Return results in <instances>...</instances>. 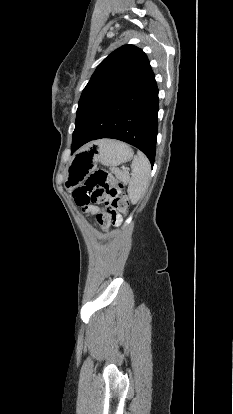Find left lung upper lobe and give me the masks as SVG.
<instances>
[{
    "mask_svg": "<svg viewBox=\"0 0 233 414\" xmlns=\"http://www.w3.org/2000/svg\"><path fill=\"white\" fill-rule=\"evenodd\" d=\"M150 70L149 60L141 49L125 45L115 50L98 65L84 88L77 116L93 103L126 89Z\"/></svg>",
    "mask_w": 233,
    "mask_h": 414,
    "instance_id": "left-lung-upper-lobe-1",
    "label": "left lung upper lobe"
}]
</instances>
